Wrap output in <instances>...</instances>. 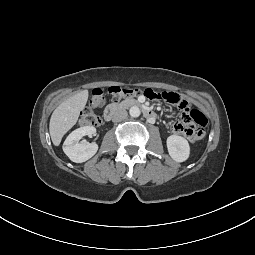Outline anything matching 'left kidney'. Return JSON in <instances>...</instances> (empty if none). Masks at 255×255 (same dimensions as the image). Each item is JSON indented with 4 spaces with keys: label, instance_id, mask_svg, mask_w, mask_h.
Here are the masks:
<instances>
[{
    "label": "left kidney",
    "instance_id": "left-kidney-1",
    "mask_svg": "<svg viewBox=\"0 0 255 255\" xmlns=\"http://www.w3.org/2000/svg\"><path fill=\"white\" fill-rule=\"evenodd\" d=\"M167 149L170 157L176 162H184L189 158V143L185 138L181 136H169L167 138Z\"/></svg>",
    "mask_w": 255,
    "mask_h": 255
}]
</instances>
